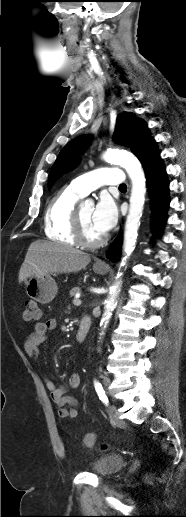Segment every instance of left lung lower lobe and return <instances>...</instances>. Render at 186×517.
Masks as SVG:
<instances>
[{"label":"left lung lower lobe","mask_w":186,"mask_h":517,"mask_svg":"<svg viewBox=\"0 0 186 517\" xmlns=\"http://www.w3.org/2000/svg\"><path fill=\"white\" fill-rule=\"evenodd\" d=\"M143 169L147 178V185L151 190L152 197V209H153V229L157 233L163 227L164 222L167 218V208L170 200L168 197L169 182L166 178L165 166L163 165L159 151L157 150L156 143H154L140 158ZM121 247V240L117 238L109 251L107 252L108 257L112 261L115 260L117 253Z\"/></svg>","instance_id":"1"}]
</instances>
